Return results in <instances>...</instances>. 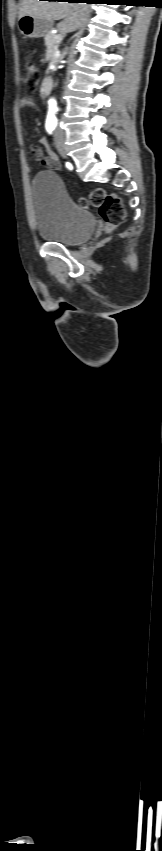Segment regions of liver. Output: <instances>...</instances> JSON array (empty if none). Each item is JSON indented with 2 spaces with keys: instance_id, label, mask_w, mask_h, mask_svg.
Returning <instances> with one entry per match:
<instances>
[{
  "instance_id": "1",
  "label": "liver",
  "mask_w": 162,
  "mask_h": 851,
  "mask_svg": "<svg viewBox=\"0 0 162 851\" xmlns=\"http://www.w3.org/2000/svg\"><path fill=\"white\" fill-rule=\"evenodd\" d=\"M87 9L85 3L22 0L19 17L29 15L52 22L62 19L59 27L63 32H71L82 24Z\"/></svg>"
}]
</instances>
